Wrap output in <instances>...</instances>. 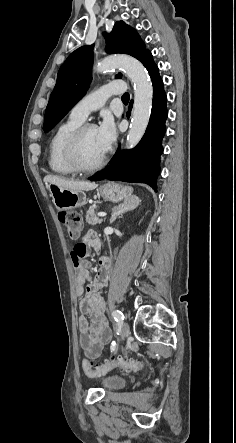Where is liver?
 <instances>
[{
	"label": "liver",
	"mask_w": 236,
	"mask_h": 443,
	"mask_svg": "<svg viewBox=\"0 0 236 443\" xmlns=\"http://www.w3.org/2000/svg\"><path fill=\"white\" fill-rule=\"evenodd\" d=\"M45 183H50L57 185L59 187L70 189V190H93L97 187V184L94 182H86V181H73L68 180L59 176L47 175L44 178Z\"/></svg>",
	"instance_id": "obj_1"
}]
</instances>
